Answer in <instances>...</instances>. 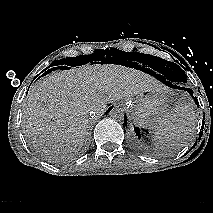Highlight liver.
Returning a JSON list of instances; mask_svg holds the SVG:
<instances>
[{"instance_id": "6515ba94", "label": "liver", "mask_w": 213, "mask_h": 213, "mask_svg": "<svg viewBox=\"0 0 213 213\" xmlns=\"http://www.w3.org/2000/svg\"><path fill=\"white\" fill-rule=\"evenodd\" d=\"M162 89L154 77L115 64H88L54 72L38 80L23 106L26 138L50 157L77 152L84 141L89 113L107 104Z\"/></svg>"}]
</instances>
